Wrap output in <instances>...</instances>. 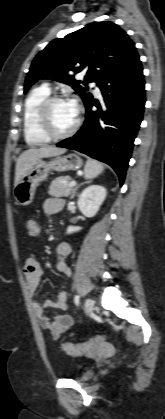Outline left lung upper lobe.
Instances as JSON below:
<instances>
[{
    "label": "left lung upper lobe",
    "instance_id": "5c2ea615",
    "mask_svg": "<svg viewBox=\"0 0 165 419\" xmlns=\"http://www.w3.org/2000/svg\"><path fill=\"white\" fill-rule=\"evenodd\" d=\"M134 50V42L118 25L108 21L94 22L51 41L35 57L24 92L38 79H52L72 86L86 105L93 97L80 83L96 82L99 85ZM79 72H86L84 82L74 79Z\"/></svg>",
    "mask_w": 165,
    "mask_h": 419
}]
</instances>
